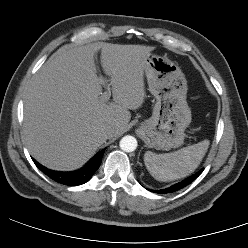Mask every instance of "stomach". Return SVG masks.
Here are the masks:
<instances>
[{"instance_id": "stomach-1", "label": "stomach", "mask_w": 248, "mask_h": 248, "mask_svg": "<svg viewBox=\"0 0 248 248\" xmlns=\"http://www.w3.org/2000/svg\"><path fill=\"white\" fill-rule=\"evenodd\" d=\"M145 73L156 104L152 117L142 122L140 128L149 137L150 147L178 148L184 142V131L192 119L186 101V78L176 63L153 54L147 58Z\"/></svg>"}]
</instances>
